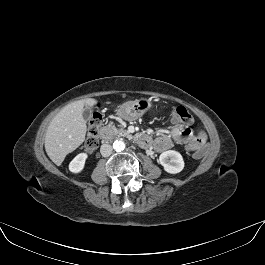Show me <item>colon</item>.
<instances>
[{
    "mask_svg": "<svg viewBox=\"0 0 265 265\" xmlns=\"http://www.w3.org/2000/svg\"><path fill=\"white\" fill-rule=\"evenodd\" d=\"M171 116L176 118L180 123L189 125L193 122V118L188 112V110L183 106L174 107L171 110ZM102 123V115L99 112H95L88 126V133L85 140L84 148L88 153L93 152L99 144L98 140V130ZM203 156L202 151H197L194 153L195 158H201Z\"/></svg>",
    "mask_w": 265,
    "mask_h": 265,
    "instance_id": "colon-1",
    "label": "colon"
}]
</instances>
